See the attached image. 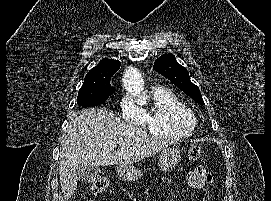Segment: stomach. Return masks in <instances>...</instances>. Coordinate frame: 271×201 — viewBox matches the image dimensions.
<instances>
[{"mask_svg":"<svg viewBox=\"0 0 271 201\" xmlns=\"http://www.w3.org/2000/svg\"><path fill=\"white\" fill-rule=\"evenodd\" d=\"M180 160V150L177 147H167L161 151L158 164L162 171H167L176 166ZM117 172L125 181H137L143 175L141 170L131 165H120Z\"/></svg>","mask_w":271,"mask_h":201,"instance_id":"obj_1","label":"stomach"}]
</instances>
